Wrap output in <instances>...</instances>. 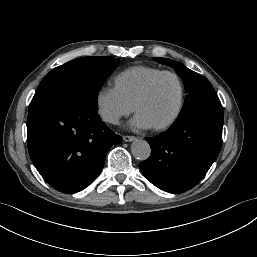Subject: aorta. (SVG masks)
Wrapping results in <instances>:
<instances>
[{"mask_svg": "<svg viewBox=\"0 0 257 257\" xmlns=\"http://www.w3.org/2000/svg\"><path fill=\"white\" fill-rule=\"evenodd\" d=\"M133 156L139 160H146L151 153L150 145L145 140H135L131 145Z\"/></svg>", "mask_w": 257, "mask_h": 257, "instance_id": "1", "label": "aorta"}]
</instances>
